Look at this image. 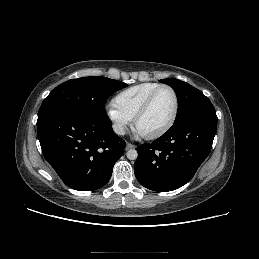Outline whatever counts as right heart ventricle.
<instances>
[{"instance_id":"obj_1","label":"right heart ventricle","mask_w":259,"mask_h":259,"mask_svg":"<svg viewBox=\"0 0 259 259\" xmlns=\"http://www.w3.org/2000/svg\"><path fill=\"white\" fill-rule=\"evenodd\" d=\"M160 85L157 82H144L128 87L114 97V106L130 120H133L148 95Z\"/></svg>"}]
</instances>
